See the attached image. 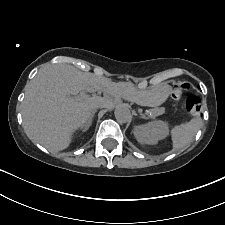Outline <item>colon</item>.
I'll return each instance as SVG.
<instances>
[{"instance_id":"colon-1","label":"colon","mask_w":225,"mask_h":225,"mask_svg":"<svg viewBox=\"0 0 225 225\" xmlns=\"http://www.w3.org/2000/svg\"><path fill=\"white\" fill-rule=\"evenodd\" d=\"M189 90V84L186 82H177L172 88V97L181 98ZM184 109L190 115H198L202 111V100L197 94L188 96L183 103Z\"/></svg>"}]
</instances>
